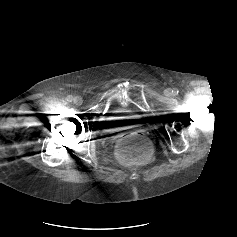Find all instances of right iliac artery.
<instances>
[{
  "mask_svg": "<svg viewBox=\"0 0 237 237\" xmlns=\"http://www.w3.org/2000/svg\"><path fill=\"white\" fill-rule=\"evenodd\" d=\"M66 100L68 102H72L73 101V97L71 95H69V96L66 97Z\"/></svg>",
  "mask_w": 237,
  "mask_h": 237,
  "instance_id": "obj_1",
  "label": "right iliac artery"
}]
</instances>
